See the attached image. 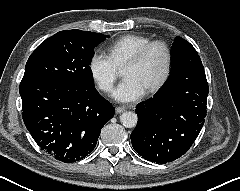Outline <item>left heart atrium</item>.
<instances>
[{
  "instance_id": "obj_1",
  "label": "left heart atrium",
  "mask_w": 240,
  "mask_h": 191,
  "mask_svg": "<svg viewBox=\"0 0 240 191\" xmlns=\"http://www.w3.org/2000/svg\"><path fill=\"white\" fill-rule=\"evenodd\" d=\"M145 93L142 85L134 78H125L113 92V97L119 102H133Z\"/></svg>"
}]
</instances>
